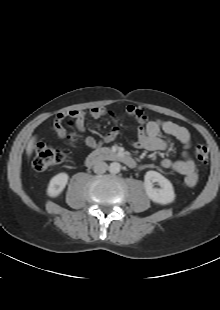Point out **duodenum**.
I'll use <instances>...</instances> for the list:
<instances>
[{"label": "duodenum", "instance_id": "410a0bca", "mask_svg": "<svg viewBox=\"0 0 220 310\" xmlns=\"http://www.w3.org/2000/svg\"><path fill=\"white\" fill-rule=\"evenodd\" d=\"M103 160L120 162V163L128 166L129 168H135V166H136V162L133 159V157H131V156H129L123 152L111 150V149H106V148L97 149V150L93 151L92 153H90L87 156L85 162L88 166H92V165H95V164H97Z\"/></svg>", "mask_w": 220, "mask_h": 310}]
</instances>
